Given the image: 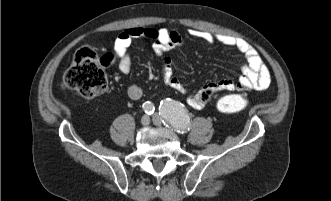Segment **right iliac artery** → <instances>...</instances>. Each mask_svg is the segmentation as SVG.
Instances as JSON below:
<instances>
[{"label": "right iliac artery", "mask_w": 331, "mask_h": 201, "mask_svg": "<svg viewBox=\"0 0 331 201\" xmlns=\"http://www.w3.org/2000/svg\"><path fill=\"white\" fill-rule=\"evenodd\" d=\"M142 107H143L145 113L148 115L153 114L155 111V107H154L153 103H151L149 101L143 103Z\"/></svg>", "instance_id": "82829eb1"}]
</instances>
